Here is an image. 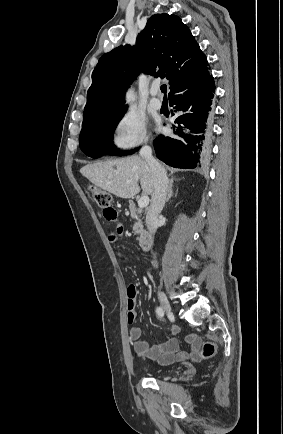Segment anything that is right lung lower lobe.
<instances>
[{"label": "right lung lower lobe", "instance_id": "98d812e1", "mask_svg": "<svg viewBox=\"0 0 283 434\" xmlns=\"http://www.w3.org/2000/svg\"><path fill=\"white\" fill-rule=\"evenodd\" d=\"M214 78L193 91L169 98L177 118L173 135L155 138L156 156L166 164L178 168H195L208 153L211 137V104L214 97Z\"/></svg>", "mask_w": 283, "mask_h": 434}]
</instances>
